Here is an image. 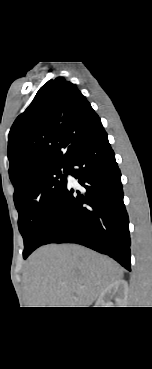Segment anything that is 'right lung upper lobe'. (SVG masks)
<instances>
[{
	"label": "right lung upper lobe",
	"instance_id": "right-lung-upper-lobe-1",
	"mask_svg": "<svg viewBox=\"0 0 152 369\" xmlns=\"http://www.w3.org/2000/svg\"><path fill=\"white\" fill-rule=\"evenodd\" d=\"M99 116L77 87L49 80L9 132V178L18 195L32 178L68 164L76 151L103 130Z\"/></svg>",
	"mask_w": 152,
	"mask_h": 369
}]
</instances>
